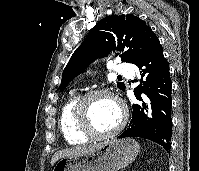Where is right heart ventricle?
I'll return each instance as SVG.
<instances>
[{
	"instance_id": "obj_1",
	"label": "right heart ventricle",
	"mask_w": 199,
	"mask_h": 171,
	"mask_svg": "<svg viewBox=\"0 0 199 171\" xmlns=\"http://www.w3.org/2000/svg\"><path fill=\"white\" fill-rule=\"evenodd\" d=\"M80 97L79 93L71 92L60 111V130L65 141L71 145H81L89 140V137L80 132L76 122L75 108Z\"/></svg>"
}]
</instances>
